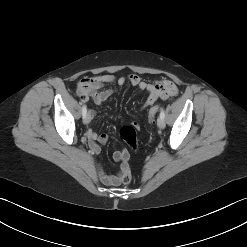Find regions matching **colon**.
<instances>
[{
  "label": "colon",
  "instance_id": "5ec220e1",
  "mask_svg": "<svg viewBox=\"0 0 247 247\" xmlns=\"http://www.w3.org/2000/svg\"><path fill=\"white\" fill-rule=\"evenodd\" d=\"M159 111V106L158 105H154L150 108L148 116L150 121H153L156 114ZM138 128L137 123H133L132 125H128L123 127L120 130V138L128 145L130 146L132 149H137L138 147V141H137V133L136 130ZM122 157H123V166L125 167L124 172L122 173L121 176V181L123 184H129L131 182L132 179V175L128 166V158L129 155L127 153V151H121Z\"/></svg>",
  "mask_w": 247,
  "mask_h": 247
}]
</instances>
